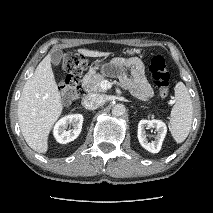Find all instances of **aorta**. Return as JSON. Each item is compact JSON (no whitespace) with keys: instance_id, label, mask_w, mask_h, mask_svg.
<instances>
[{"instance_id":"762f6f07","label":"aorta","mask_w":213,"mask_h":213,"mask_svg":"<svg viewBox=\"0 0 213 213\" xmlns=\"http://www.w3.org/2000/svg\"><path fill=\"white\" fill-rule=\"evenodd\" d=\"M125 106L123 104H116L112 109V114L114 116H122L125 113Z\"/></svg>"}]
</instances>
